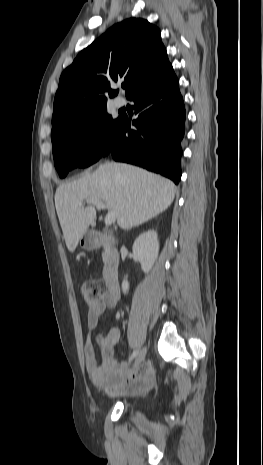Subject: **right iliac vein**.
Returning <instances> with one entry per match:
<instances>
[{
  "mask_svg": "<svg viewBox=\"0 0 263 465\" xmlns=\"http://www.w3.org/2000/svg\"><path fill=\"white\" fill-rule=\"evenodd\" d=\"M146 352H147V348H146V347H144V348H142V349L140 350V352H139V353L137 354V356H136V359H135V361H134V364H133V366H132V369L137 368V367L142 363V361H143L144 358H145Z\"/></svg>",
  "mask_w": 263,
  "mask_h": 465,
  "instance_id": "right-iliac-vein-1",
  "label": "right iliac vein"
}]
</instances>
